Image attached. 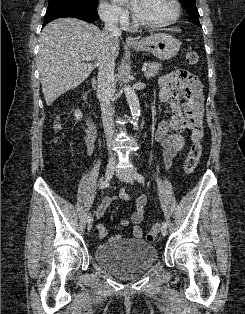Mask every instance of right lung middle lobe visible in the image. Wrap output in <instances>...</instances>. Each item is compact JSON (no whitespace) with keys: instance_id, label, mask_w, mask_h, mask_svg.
Returning <instances> with one entry per match:
<instances>
[{"instance_id":"dd1d6c3e","label":"right lung middle lobe","mask_w":245,"mask_h":314,"mask_svg":"<svg viewBox=\"0 0 245 314\" xmlns=\"http://www.w3.org/2000/svg\"><path fill=\"white\" fill-rule=\"evenodd\" d=\"M98 0H49L48 8L74 7L97 11Z\"/></svg>"}]
</instances>
